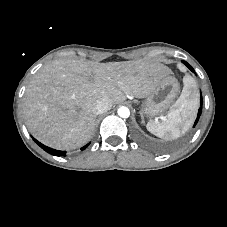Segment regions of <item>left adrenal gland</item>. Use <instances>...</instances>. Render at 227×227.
Returning <instances> with one entry per match:
<instances>
[{
	"instance_id": "1",
	"label": "left adrenal gland",
	"mask_w": 227,
	"mask_h": 227,
	"mask_svg": "<svg viewBox=\"0 0 227 227\" xmlns=\"http://www.w3.org/2000/svg\"><path fill=\"white\" fill-rule=\"evenodd\" d=\"M141 120H142V123H144V117L142 114H141Z\"/></svg>"
}]
</instances>
